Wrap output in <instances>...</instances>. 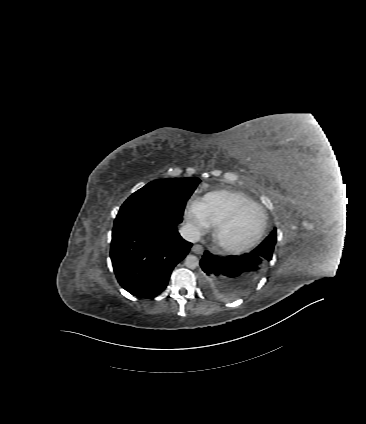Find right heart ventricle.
Listing matches in <instances>:
<instances>
[{
    "instance_id": "1",
    "label": "right heart ventricle",
    "mask_w": 366,
    "mask_h": 424,
    "mask_svg": "<svg viewBox=\"0 0 366 424\" xmlns=\"http://www.w3.org/2000/svg\"><path fill=\"white\" fill-rule=\"evenodd\" d=\"M245 203H255V201L246 194L238 191H212L202 199L203 215L209 226H215L235 208Z\"/></svg>"
}]
</instances>
